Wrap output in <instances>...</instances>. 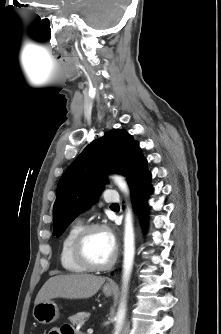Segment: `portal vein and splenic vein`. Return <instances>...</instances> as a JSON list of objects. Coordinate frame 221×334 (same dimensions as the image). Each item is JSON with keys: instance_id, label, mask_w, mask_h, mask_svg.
<instances>
[{"instance_id": "18ae733b", "label": "portal vein and splenic vein", "mask_w": 221, "mask_h": 334, "mask_svg": "<svg viewBox=\"0 0 221 334\" xmlns=\"http://www.w3.org/2000/svg\"><path fill=\"white\" fill-rule=\"evenodd\" d=\"M87 333H88V334H92V333H93V329L89 328V329L87 330Z\"/></svg>"}]
</instances>
